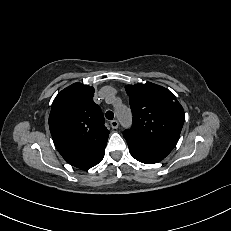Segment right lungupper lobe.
Segmentation results:
<instances>
[{
  "instance_id": "cb5924a9",
  "label": "right lung upper lobe",
  "mask_w": 231,
  "mask_h": 231,
  "mask_svg": "<svg viewBox=\"0 0 231 231\" xmlns=\"http://www.w3.org/2000/svg\"><path fill=\"white\" fill-rule=\"evenodd\" d=\"M93 94V87L72 84L55 97L49 115L56 148L66 162L82 170L103 159L109 135Z\"/></svg>"
}]
</instances>
